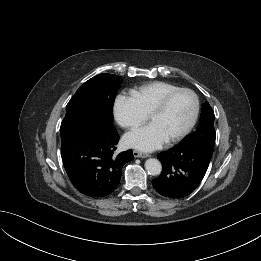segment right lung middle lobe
<instances>
[{
	"label": "right lung middle lobe",
	"instance_id": "obj_1",
	"mask_svg": "<svg viewBox=\"0 0 261 261\" xmlns=\"http://www.w3.org/2000/svg\"><path fill=\"white\" fill-rule=\"evenodd\" d=\"M121 84V77L107 73L86 81L66 106L61 137L80 128L114 127L113 103Z\"/></svg>",
	"mask_w": 261,
	"mask_h": 261
}]
</instances>
